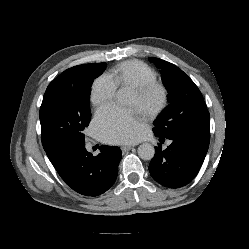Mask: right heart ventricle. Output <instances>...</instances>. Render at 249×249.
Instances as JSON below:
<instances>
[{"label": "right heart ventricle", "mask_w": 249, "mask_h": 249, "mask_svg": "<svg viewBox=\"0 0 249 249\" xmlns=\"http://www.w3.org/2000/svg\"><path fill=\"white\" fill-rule=\"evenodd\" d=\"M108 75L117 86L129 88L157 79L156 73L138 60L125 61L114 67Z\"/></svg>", "instance_id": "obj_1"}]
</instances>
